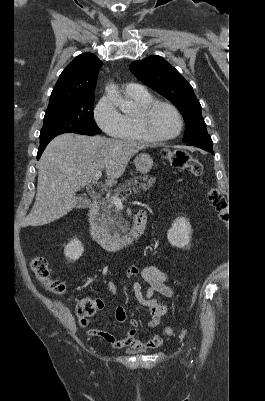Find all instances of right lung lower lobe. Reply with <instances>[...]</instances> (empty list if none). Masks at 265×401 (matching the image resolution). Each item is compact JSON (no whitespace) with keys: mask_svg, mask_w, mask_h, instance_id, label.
Listing matches in <instances>:
<instances>
[{"mask_svg":"<svg viewBox=\"0 0 265 401\" xmlns=\"http://www.w3.org/2000/svg\"><path fill=\"white\" fill-rule=\"evenodd\" d=\"M56 136H57V135H56ZM56 136H54V137H56ZM54 137H52V138H50V139H48V140H46V141H44V142H40V146H39L38 153H37V159L40 158V156H41V154L43 153L45 147L47 146V144H48Z\"/></svg>","mask_w":265,"mask_h":401,"instance_id":"right-lung-lower-lobe-1","label":"right lung lower lobe"}]
</instances>
